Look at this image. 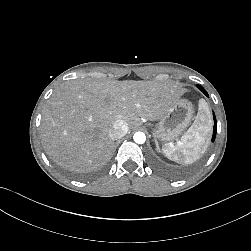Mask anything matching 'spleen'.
<instances>
[{"label":"spleen","instance_id":"3e777b00","mask_svg":"<svg viewBox=\"0 0 251 251\" xmlns=\"http://www.w3.org/2000/svg\"><path fill=\"white\" fill-rule=\"evenodd\" d=\"M194 132V130L193 129H191V131L189 132V133H187L186 134V139H190L191 138V134ZM188 141V140H187ZM187 141L186 142H179L178 144H177V146H182V145H184L185 143H187ZM165 147H166V149H168V150H175V148H176V146L173 144V143H166L165 144Z\"/></svg>","mask_w":251,"mask_h":251}]
</instances>
